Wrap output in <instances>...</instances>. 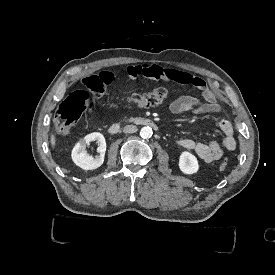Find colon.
I'll return each mask as SVG.
<instances>
[{"mask_svg": "<svg viewBox=\"0 0 275 275\" xmlns=\"http://www.w3.org/2000/svg\"><path fill=\"white\" fill-rule=\"evenodd\" d=\"M86 85L96 97L102 95L103 92L109 89L108 86L100 82L98 74L89 76ZM167 97V89L161 87L147 93L133 95L130 97V101L138 106H152L163 102ZM93 102L94 100L85 90L70 92L54 114L56 131L60 134L69 133L80 117L89 110ZM219 164L221 170H227L229 168V162L226 157H221Z\"/></svg>", "mask_w": 275, "mask_h": 275, "instance_id": "obj_1", "label": "colon"}]
</instances>
